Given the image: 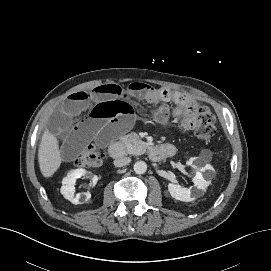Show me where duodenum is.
<instances>
[{"label":"duodenum","mask_w":271,"mask_h":271,"mask_svg":"<svg viewBox=\"0 0 271 271\" xmlns=\"http://www.w3.org/2000/svg\"><path fill=\"white\" fill-rule=\"evenodd\" d=\"M108 153L111 158L119 159L125 155L124 146L119 142H112L108 147ZM151 159L158 161L168 157V152L161 147H151L149 149Z\"/></svg>","instance_id":"410a0bca"}]
</instances>
